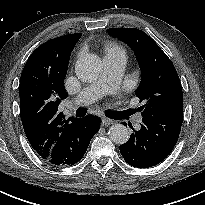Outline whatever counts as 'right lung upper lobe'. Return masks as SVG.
<instances>
[{
    "mask_svg": "<svg viewBox=\"0 0 205 205\" xmlns=\"http://www.w3.org/2000/svg\"><path fill=\"white\" fill-rule=\"evenodd\" d=\"M81 33L51 39L40 45L28 58L21 74L20 115L32 148L45 159L66 126L76 118L58 112L67 98L64 78L71 52Z\"/></svg>",
    "mask_w": 205,
    "mask_h": 205,
    "instance_id": "obj_1",
    "label": "right lung upper lobe"
}]
</instances>
